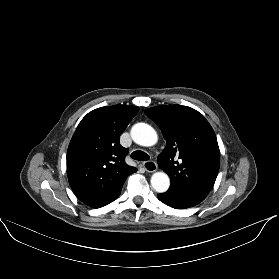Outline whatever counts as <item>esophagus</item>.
I'll use <instances>...</instances> for the list:
<instances>
[{
    "mask_svg": "<svg viewBox=\"0 0 279 279\" xmlns=\"http://www.w3.org/2000/svg\"><path fill=\"white\" fill-rule=\"evenodd\" d=\"M143 167L147 172H155L157 170V164L152 160L145 161Z\"/></svg>",
    "mask_w": 279,
    "mask_h": 279,
    "instance_id": "1",
    "label": "esophagus"
}]
</instances>
